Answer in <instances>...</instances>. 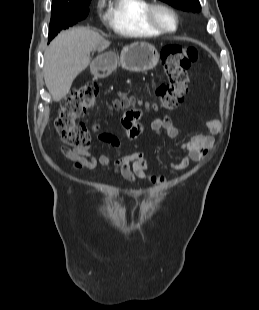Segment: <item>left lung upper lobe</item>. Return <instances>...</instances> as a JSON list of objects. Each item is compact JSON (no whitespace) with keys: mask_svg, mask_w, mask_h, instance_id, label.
I'll return each instance as SVG.
<instances>
[{"mask_svg":"<svg viewBox=\"0 0 259 310\" xmlns=\"http://www.w3.org/2000/svg\"><path fill=\"white\" fill-rule=\"evenodd\" d=\"M161 1L184 11H193V12L201 11L199 0H161Z\"/></svg>","mask_w":259,"mask_h":310,"instance_id":"obj_1","label":"left lung upper lobe"}]
</instances>
